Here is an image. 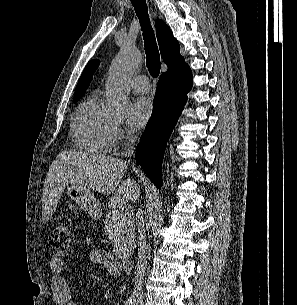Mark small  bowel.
Wrapping results in <instances>:
<instances>
[{"instance_id": "obj_1", "label": "small bowel", "mask_w": 297, "mask_h": 305, "mask_svg": "<svg viewBox=\"0 0 297 305\" xmlns=\"http://www.w3.org/2000/svg\"><path fill=\"white\" fill-rule=\"evenodd\" d=\"M90 262L103 265L113 277L120 276V266L116 259L109 253L96 250L90 254ZM52 269L51 290L61 305H77L73 299L70 285L63 273V261L60 258H51Z\"/></svg>"}]
</instances>
